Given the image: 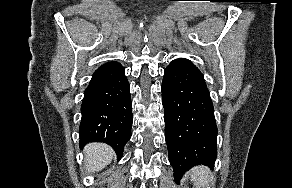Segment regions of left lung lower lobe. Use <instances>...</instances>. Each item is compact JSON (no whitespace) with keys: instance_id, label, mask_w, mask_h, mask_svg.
<instances>
[{"instance_id":"obj_1","label":"left lung lower lobe","mask_w":292,"mask_h":188,"mask_svg":"<svg viewBox=\"0 0 292 188\" xmlns=\"http://www.w3.org/2000/svg\"><path fill=\"white\" fill-rule=\"evenodd\" d=\"M162 104L165 140L176 179L195 165L212 167L217 156V126L209 91L189 60H173L164 72Z\"/></svg>"}]
</instances>
